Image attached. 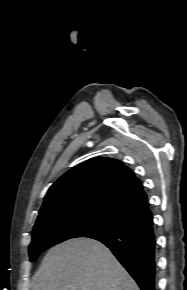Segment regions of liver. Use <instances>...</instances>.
<instances>
[{
  "label": "liver",
  "instance_id": "liver-1",
  "mask_svg": "<svg viewBox=\"0 0 187 290\" xmlns=\"http://www.w3.org/2000/svg\"><path fill=\"white\" fill-rule=\"evenodd\" d=\"M32 290H140L101 242L81 237L51 248L32 279Z\"/></svg>",
  "mask_w": 187,
  "mask_h": 290
}]
</instances>
